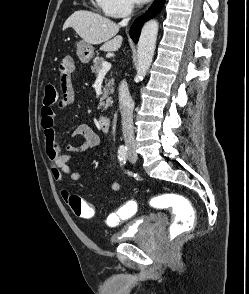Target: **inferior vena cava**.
I'll return each mask as SVG.
<instances>
[{
  "label": "inferior vena cava",
  "instance_id": "inferior-vena-cava-1",
  "mask_svg": "<svg viewBox=\"0 0 249 294\" xmlns=\"http://www.w3.org/2000/svg\"><path fill=\"white\" fill-rule=\"evenodd\" d=\"M129 18L123 19L120 22L121 26H126ZM119 107L122 118V132L125 145L129 148L135 147V139L133 132V107L134 103L130 96L128 84L122 81L119 86Z\"/></svg>",
  "mask_w": 249,
  "mask_h": 294
}]
</instances>
